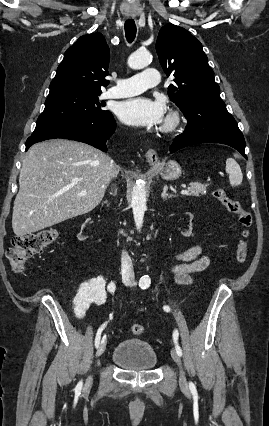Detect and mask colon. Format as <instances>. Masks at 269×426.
Listing matches in <instances>:
<instances>
[{
    "mask_svg": "<svg viewBox=\"0 0 269 426\" xmlns=\"http://www.w3.org/2000/svg\"><path fill=\"white\" fill-rule=\"evenodd\" d=\"M212 196L229 213L238 217V222L241 226V237L237 245L235 258L238 263L242 264L248 255L247 237L253 224L252 215L241 206L239 201L230 198L223 188H215L212 191ZM56 238L57 232L52 228L16 235L12 239L11 247L6 252V258L14 271L22 272L25 269L27 259L50 246ZM144 330L142 324H133L131 326V332L134 335H142Z\"/></svg>",
    "mask_w": 269,
    "mask_h": 426,
    "instance_id": "1",
    "label": "colon"
}]
</instances>
